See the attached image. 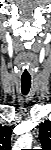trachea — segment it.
Masks as SVG:
<instances>
[{
    "instance_id": "3493384b",
    "label": "trachea",
    "mask_w": 51,
    "mask_h": 150,
    "mask_svg": "<svg viewBox=\"0 0 51 150\" xmlns=\"http://www.w3.org/2000/svg\"><path fill=\"white\" fill-rule=\"evenodd\" d=\"M31 88V79H21V90L23 95H27Z\"/></svg>"
}]
</instances>
